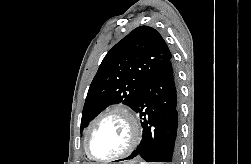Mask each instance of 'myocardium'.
I'll list each match as a JSON object with an SVG mask.
<instances>
[{"mask_svg": "<svg viewBox=\"0 0 251 164\" xmlns=\"http://www.w3.org/2000/svg\"><path fill=\"white\" fill-rule=\"evenodd\" d=\"M112 114H119L127 121L130 128L129 143L122 152L114 156H111L108 158H96L91 154V151H90V140H91L92 134L95 128L97 127V125L99 124V122L105 117ZM140 139H141V128H140V124L136 115L133 113V111L129 107L122 104H118V105H114L106 109L99 116H97L95 120L91 123L86 134L84 147H85L86 155L88 156L89 159L97 163H106V162H111V161L122 159L128 156L129 154H131L134 151V149L137 147V145L139 144Z\"/></svg>", "mask_w": 251, "mask_h": 164, "instance_id": "obj_1", "label": "myocardium"}]
</instances>
